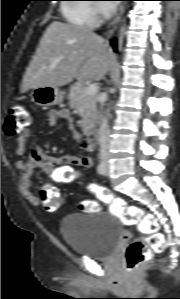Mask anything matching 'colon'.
<instances>
[{
	"instance_id": "5ec220e1",
	"label": "colon",
	"mask_w": 180,
	"mask_h": 299,
	"mask_svg": "<svg viewBox=\"0 0 180 299\" xmlns=\"http://www.w3.org/2000/svg\"><path fill=\"white\" fill-rule=\"evenodd\" d=\"M30 122L31 113L26 106H13L6 115L5 133L15 135L25 129ZM91 191L109 206L112 213L120 217L123 224L135 226L141 234L129 243L124 253L123 258L128 269H133L150 258L152 254L164 250V236L159 232L158 221L154 215L145 212L139 206L129 205L123 198L115 196L101 186L93 185ZM40 199L48 212H55L60 207V193L54 185L44 186L40 191ZM79 209L85 213H92L99 210V205L93 200H84L80 202Z\"/></svg>"
}]
</instances>
